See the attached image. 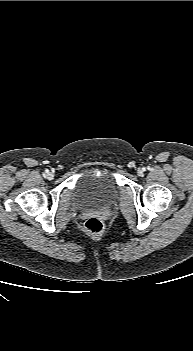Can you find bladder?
I'll return each instance as SVG.
<instances>
[{
    "label": "bladder",
    "instance_id": "31cf9c89",
    "mask_svg": "<svg viewBox=\"0 0 193 351\" xmlns=\"http://www.w3.org/2000/svg\"><path fill=\"white\" fill-rule=\"evenodd\" d=\"M116 195V185L107 170L88 171L77 183L74 203L81 208H98L112 202Z\"/></svg>",
    "mask_w": 193,
    "mask_h": 351
}]
</instances>
